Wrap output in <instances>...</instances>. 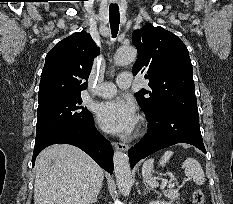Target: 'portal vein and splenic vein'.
I'll return each instance as SVG.
<instances>
[{
  "label": "portal vein and splenic vein",
  "instance_id": "1",
  "mask_svg": "<svg viewBox=\"0 0 233 204\" xmlns=\"http://www.w3.org/2000/svg\"><path fill=\"white\" fill-rule=\"evenodd\" d=\"M174 184H172L171 182H169L167 179H163L162 180V186L161 188L163 189L165 186H168V187H172Z\"/></svg>",
  "mask_w": 233,
  "mask_h": 204
}]
</instances>
